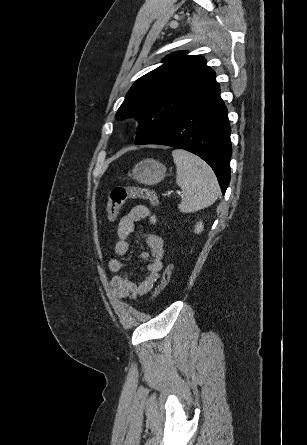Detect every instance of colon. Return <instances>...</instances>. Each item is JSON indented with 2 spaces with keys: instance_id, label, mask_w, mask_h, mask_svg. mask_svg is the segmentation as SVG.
Masks as SVG:
<instances>
[{
  "instance_id": "obj_1",
  "label": "colon",
  "mask_w": 307,
  "mask_h": 445,
  "mask_svg": "<svg viewBox=\"0 0 307 445\" xmlns=\"http://www.w3.org/2000/svg\"><path fill=\"white\" fill-rule=\"evenodd\" d=\"M129 199H144L149 202L151 207L158 205V196L155 191L141 188L114 187L109 193V201L106 209V220L112 222L116 219L119 210ZM173 265L169 264L163 274L160 283L155 289L153 298L157 297L168 285Z\"/></svg>"
}]
</instances>
